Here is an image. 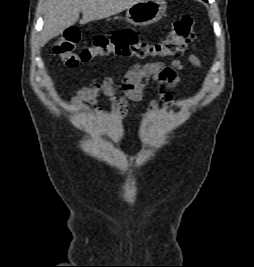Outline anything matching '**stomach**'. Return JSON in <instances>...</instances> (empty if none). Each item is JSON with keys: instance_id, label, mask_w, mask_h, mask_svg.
I'll return each instance as SVG.
<instances>
[{"instance_id": "stomach-1", "label": "stomach", "mask_w": 254, "mask_h": 267, "mask_svg": "<svg viewBox=\"0 0 254 267\" xmlns=\"http://www.w3.org/2000/svg\"><path fill=\"white\" fill-rule=\"evenodd\" d=\"M166 9L165 0H142L127 9L126 20L134 26H148L160 20Z\"/></svg>"}]
</instances>
